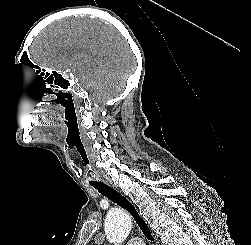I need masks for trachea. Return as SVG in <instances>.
Wrapping results in <instances>:
<instances>
[{
	"label": "trachea",
	"mask_w": 251,
	"mask_h": 245,
	"mask_svg": "<svg viewBox=\"0 0 251 245\" xmlns=\"http://www.w3.org/2000/svg\"><path fill=\"white\" fill-rule=\"evenodd\" d=\"M90 185L97 189L99 193L106 196L109 200L126 209L134 217V220L140 227L145 237L151 241L154 240L146 222L139 215L136 208L124 196H122L119 192L102 182H93L90 183Z\"/></svg>",
	"instance_id": "trachea-1"
}]
</instances>
